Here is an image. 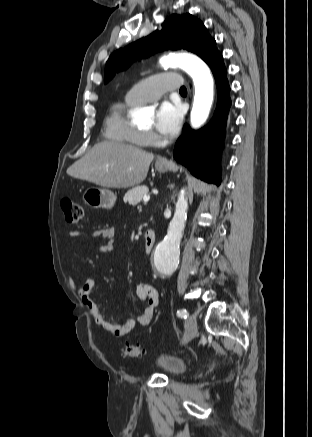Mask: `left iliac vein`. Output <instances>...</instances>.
<instances>
[{"instance_id": "4c4485c4", "label": "left iliac vein", "mask_w": 312, "mask_h": 437, "mask_svg": "<svg viewBox=\"0 0 312 437\" xmlns=\"http://www.w3.org/2000/svg\"><path fill=\"white\" fill-rule=\"evenodd\" d=\"M197 333V320L196 315L191 313L187 319L186 331L183 339V343L189 342Z\"/></svg>"}]
</instances>
